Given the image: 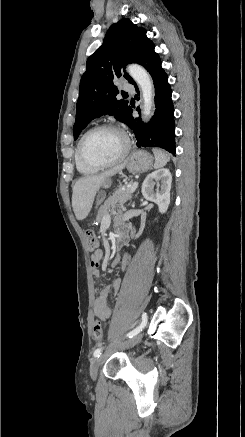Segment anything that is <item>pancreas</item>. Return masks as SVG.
Returning <instances> with one entry per match:
<instances>
[{
	"instance_id": "obj_1",
	"label": "pancreas",
	"mask_w": 245,
	"mask_h": 437,
	"mask_svg": "<svg viewBox=\"0 0 245 437\" xmlns=\"http://www.w3.org/2000/svg\"><path fill=\"white\" fill-rule=\"evenodd\" d=\"M130 191V187L126 188L125 186H121L120 188H118L99 209L97 214V221L101 222L102 219L109 214V212H113L116 208H122L123 205L129 199H131L132 193Z\"/></svg>"
}]
</instances>
